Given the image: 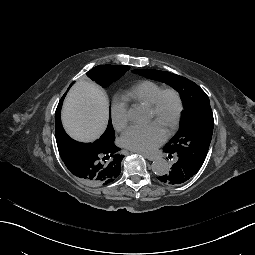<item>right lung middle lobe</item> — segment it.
Wrapping results in <instances>:
<instances>
[{
  "mask_svg": "<svg viewBox=\"0 0 255 255\" xmlns=\"http://www.w3.org/2000/svg\"><path fill=\"white\" fill-rule=\"evenodd\" d=\"M129 68V66L123 65H99L88 71L87 76L99 85H101L103 88H105L112 82L122 77L125 72L129 70ZM110 123L111 117L109 120V124ZM81 149L83 151H86L88 149V146L86 144H83L81 146Z\"/></svg>",
  "mask_w": 255,
  "mask_h": 255,
  "instance_id": "dd1d6c3e",
  "label": "right lung middle lobe"
}]
</instances>
